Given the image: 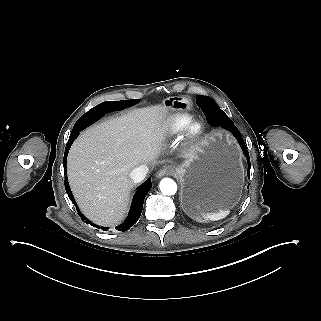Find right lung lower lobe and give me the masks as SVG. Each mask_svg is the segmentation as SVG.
<instances>
[{"label":"right lung lower lobe","instance_id":"98d812e1","mask_svg":"<svg viewBox=\"0 0 321 321\" xmlns=\"http://www.w3.org/2000/svg\"><path fill=\"white\" fill-rule=\"evenodd\" d=\"M133 104H120V105H112L108 107H100V108H92L90 111L82 115L79 120L76 122V124L73 127L71 136L67 142L66 148H65V154H64V171L66 175V159L68 155V151L70 149V146L72 145L73 141L78 137L79 132L91 125L92 123L96 122L98 119H100L102 116H104L106 113L111 112V111H116V110H122L126 107L132 106ZM152 184H151V179H147L137 190L136 194L133 197L131 209L129 212V215L127 219L124 221V223L120 224L117 226L115 229L119 231H126L128 230L131 226H133L139 219L142 208H143V203H144V198L151 189ZM65 189L66 192L68 193L69 198L72 200L74 203L79 216L85 223L90 224L96 228H101L103 231L108 230L107 227H99L92 222H90L84 215L81 214L79 211L76 202L74 200V197L72 195L69 183L67 181V176L65 178Z\"/></svg>","mask_w":321,"mask_h":321}]
</instances>
